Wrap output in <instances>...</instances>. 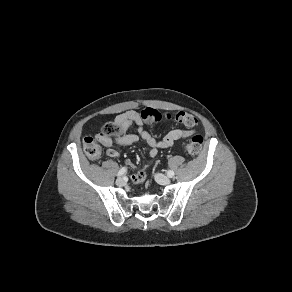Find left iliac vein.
<instances>
[{"label":"left iliac vein","instance_id":"left-iliac-vein-1","mask_svg":"<svg viewBox=\"0 0 292 292\" xmlns=\"http://www.w3.org/2000/svg\"><path fill=\"white\" fill-rule=\"evenodd\" d=\"M155 180L161 185H168L171 182L167 176L160 173L155 174Z\"/></svg>","mask_w":292,"mask_h":292}]
</instances>
